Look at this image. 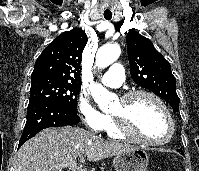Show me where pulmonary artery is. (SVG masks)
Here are the masks:
<instances>
[{
  "label": "pulmonary artery",
  "mask_w": 199,
  "mask_h": 171,
  "mask_svg": "<svg viewBox=\"0 0 199 171\" xmlns=\"http://www.w3.org/2000/svg\"><path fill=\"white\" fill-rule=\"evenodd\" d=\"M124 81V68L119 63L112 64L101 77V82L108 87H119Z\"/></svg>",
  "instance_id": "e3ab8cb5"
}]
</instances>
